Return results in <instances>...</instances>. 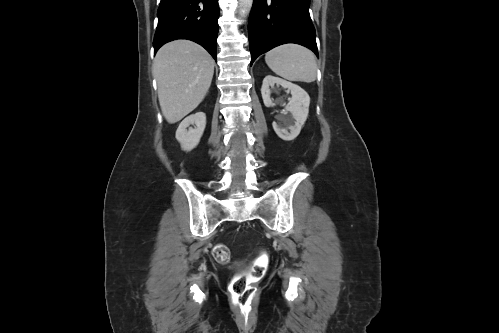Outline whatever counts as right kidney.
I'll return each mask as SVG.
<instances>
[{"label":"right kidney","mask_w":499,"mask_h":333,"mask_svg":"<svg viewBox=\"0 0 499 333\" xmlns=\"http://www.w3.org/2000/svg\"><path fill=\"white\" fill-rule=\"evenodd\" d=\"M190 125H194V128L190 127ZM205 126L206 115L203 112L192 114L180 123L176 131V139L180 142L183 150L191 151L198 145Z\"/></svg>","instance_id":"right-kidney-1"}]
</instances>
